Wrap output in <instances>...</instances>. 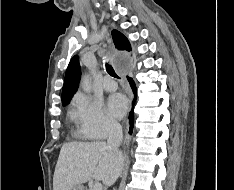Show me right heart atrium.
<instances>
[{
	"label": "right heart atrium",
	"mask_w": 234,
	"mask_h": 190,
	"mask_svg": "<svg viewBox=\"0 0 234 190\" xmlns=\"http://www.w3.org/2000/svg\"><path fill=\"white\" fill-rule=\"evenodd\" d=\"M71 118L78 133L88 139H103L118 130V123L105 111L103 104L84 93L72 100Z\"/></svg>",
	"instance_id": "right-heart-atrium-1"
}]
</instances>
